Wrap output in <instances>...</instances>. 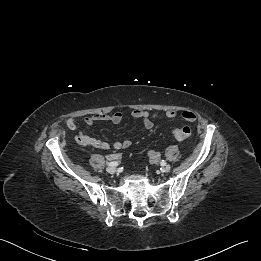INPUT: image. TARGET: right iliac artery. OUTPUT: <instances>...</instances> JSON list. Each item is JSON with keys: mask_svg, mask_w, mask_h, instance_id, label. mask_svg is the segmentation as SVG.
<instances>
[{"mask_svg": "<svg viewBox=\"0 0 261 261\" xmlns=\"http://www.w3.org/2000/svg\"><path fill=\"white\" fill-rule=\"evenodd\" d=\"M118 164L116 161L107 163L108 166H117Z\"/></svg>", "mask_w": 261, "mask_h": 261, "instance_id": "82829eb1", "label": "right iliac artery"}]
</instances>
